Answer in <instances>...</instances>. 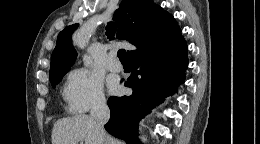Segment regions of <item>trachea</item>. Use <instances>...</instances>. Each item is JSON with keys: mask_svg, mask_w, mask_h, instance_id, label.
<instances>
[{"mask_svg": "<svg viewBox=\"0 0 260 144\" xmlns=\"http://www.w3.org/2000/svg\"><path fill=\"white\" fill-rule=\"evenodd\" d=\"M115 32L116 25L112 22L108 23V25L106 26V35L110 40L113 39ZM118 58L121 63H129L126 51L124 49L118 50Z\"/></svg>", "mask_w": 260, "mask_h": 144, "instance_id": "obj_1", "label": "trachea"}]
</instances>
